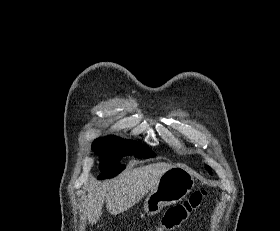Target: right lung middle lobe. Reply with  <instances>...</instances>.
Masks as SVG:
<instances>
[{"mask_svg": "<svg viewBox=\"0 0 280 231\" xmlns=\"http://www.w3.org/2000/svg\"><path fill=\"white\" fill-rule=\"evenodd\" d=\"M92 150L101 155L100 168L102 174L98 179H109L124 170L125 165H119L121 156L135 155L136 158H151L156 154L149 148L135 141L118 139L116 137L99 138L92 144Z\"/></svg>", "mask_w": 280, "mask_h": 231, "instance_id": "1", "label": "right lung middle lobe"}]
</instances>
